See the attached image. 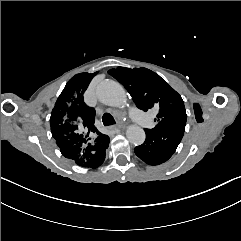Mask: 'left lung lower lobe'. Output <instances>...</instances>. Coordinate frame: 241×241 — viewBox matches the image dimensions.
Wrapping results in <instances>:
<instances>
[{"label": "left lung lower lobe", "instance_id": "0a47b994", "mask_svg": "<svg viewBox=\"0 0 241 241\" xmlns=\"http://www.w3.org/2000/svg\"><path fill=\"white\" fill-rule=\"evenodd\" d=\"M184 130L185 126L156 131L145 130L146 140L134 149L135 154L147 164H162L176 151Z\"/></svg>", "mask_w": 241, "mask_h": 241}]
</instances>
